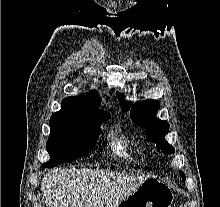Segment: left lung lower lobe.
I'll use <instances>...</instances> for the list:
<instances>
[{"instance_id":"obj_1","label":"left lung lower lobe","mask_w":220,"mask_h":207,"mask_svg":"<svg viewBox=\"0 0 220 207\" xmlns=\"http://www.w3.org/2000/svg\"><path fill=\"white\" fill-rule=\"evenodd\" d=\"M180 173H181V176L184 177L183 180H185V175H184V173H183V172H180Z\"/></svg>"}]
</instances>
